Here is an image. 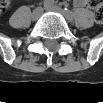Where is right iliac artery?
Wrapping results in <instances>:
<instances>
[{
  "label": "right iliac artery",
  "instance_id": "82829eb1",
  "mask_svg": "<svg viewBox=\"0 0 103 103\" xmlns=\"http://www.w3.org/2000/svg\"><path fill=\"white\" fill-rule=\"evenodd\" d=\"M53 4H54V1H53V0H45V1L43 2V6H44V7H50V6H53Z\"/></svg>",
  "mask_w": 103,
  "mask_h": 103
}]
</instances>
